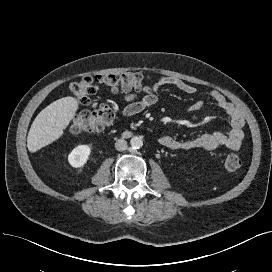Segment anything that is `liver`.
<instances>
[{
  "label": "liver",
  "mask_w": 272,
  "mask_h": 272,
  "mask_svg": "<svg viewBox=\"0 0 272 272\" xmlns=\"http://www.w3.org/2000/svg\"><path fill=\"white\" fill-rule=\"evenodd\" d=\"M79 108L76 98L58 99L44 108L33 121L27 137L30 152H36L59 139Z\"/></svg>",
  "instance_id": "liver-1"
}]
</instances>
